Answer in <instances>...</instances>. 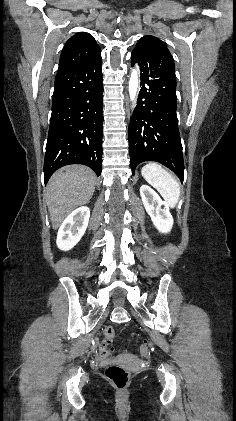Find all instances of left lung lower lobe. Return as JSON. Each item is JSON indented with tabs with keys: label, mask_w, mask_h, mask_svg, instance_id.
<instances>
[{
	"label": "left lung lower lobe",
	"mask_w": 236,
	"mask_h": 421,
	"mask_svg": "<svg viewBox=\"0 0 236 421\" xmlns=\"http://www.w3.org/2000/svg\"><path fill=\"white\" fill-rule=\"evenodd\" d=\"M135 63L141 70L142 87L128 129L133 175L138 164L156 161L183 181L174 60L162 48L136 45L131 54V65Z\"/></svg>",
	"instance_id": "left-lung-lower-lobe-1"
}]
</instances>
